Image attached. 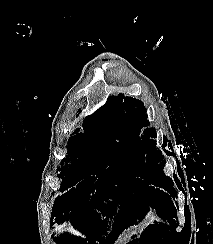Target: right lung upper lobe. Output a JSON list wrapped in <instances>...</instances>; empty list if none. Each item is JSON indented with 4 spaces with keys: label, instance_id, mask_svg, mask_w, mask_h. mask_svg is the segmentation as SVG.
Returning <instances> with one entry per match:
<instances>
[{
    "label": "right lung upper lobe",
    "instance_id": "cb5924a9",
    "mask_svg": "<svg viewBox=\"0 0 213 244\" xmlns=\"http://www.w3.org/2000/svg\"><path fill=\"white\" fill-rule=\"evenodd\" d=\"M96 114L101 115V116H106V117H108V114H107V111L105 110V108H101L100 110H98V111L96 112Z\"/></svg>",
    "mask_w": 213,
    "mask_h": 244
}]
</instances>
